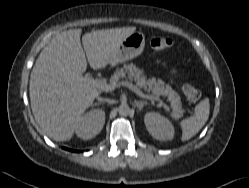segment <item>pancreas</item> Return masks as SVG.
<instances>
[{
	"label": "pancreas",
	"instance_id": "1",
	"mask_svg": "<svg viewBox=\"0 0 249 188\" xmlns=\"http://www.w3.org/2000/svg\"><path fill=\"white\" fill-rule=\"evenodd\" d=\"M123 79L133 80L140 88H143L144 91L151 92V96L156 100L159 99V96H166L171 103L173 115L175 117H181L183 115L180 96L169 84H165V82L160 79L156 80L155 77L147 79L143 71L136 68L133 63L117 69L111 76L110 83L117 87Z\"/></svg>",
	"mask_w": 249,
	"mask_h": 188
}]
</instances>
